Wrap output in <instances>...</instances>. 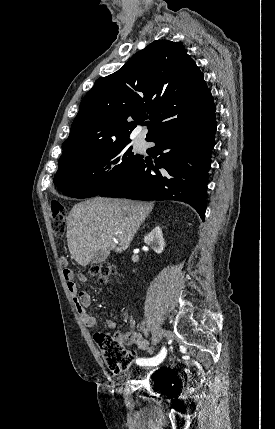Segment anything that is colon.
<instances>
[{
  "label": "colon",
  "mask_w": 275,
  "mask_h": 429,
  "mask_svg": "<svg viewBox=\"0 0 275 429\" xmlns=\"http://www.w3.org/2000/svg\"><path fill=\"white\" fill-rule=\"evenodd\" d=\"M66 217L67 213L64 205L57 200L51 201L50 220L54 236L61 238L64 235ZM60 263L62 266H66V258L60 257ZM89 273L97 277L99 281L107 282L114 275L115 267L110 263H102L91 267ZM94 339L100 349L105 365L111 372L119 373L131 365L133 355L125 348L124 342L119 336L96 333Z\"/></svg>",
  "instance_id": "1"
}]
</instances>
